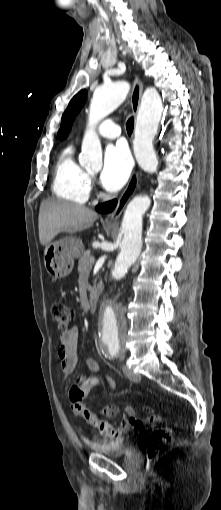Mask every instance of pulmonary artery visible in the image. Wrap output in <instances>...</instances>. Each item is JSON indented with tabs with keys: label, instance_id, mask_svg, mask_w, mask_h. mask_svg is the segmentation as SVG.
Returning a JSON list of instances; mask_svg holds the SVG:
<instances>
[{
	"label": "pulmonary artery",
	"instance_id": "e3ab8cb5",
	"mask_svg": "<svg viewBox=\"0 0 221 510\" xmlns=\"http://www.w3.org/2000/svg\"><path fill=\"white\" fill-rule=\"evenodd\" d=\"M97 133L107 139H115L119 137L121 129L118 124L113 121L106 120L102 122L96 129Z\"/></svg>",
	"mask_w": 221,
	"mask_h": 510
}]
</instances>
